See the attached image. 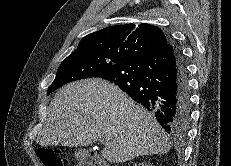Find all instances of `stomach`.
I'll return each mask as SVG.
<instances>
[{"label": "stomach", "mask_w": 231, "mask_h": 166, "mask_svg": "<svg viewBox=\"0 0 231 166\" xmlns=\"http://www.w3.org/2000/svg\"><path fill=\"white\" fill-rule=\"evenodd\" d=\"M80 152H82V151H79V152L77 153V156L80 154Z\"/></svg>", "instance_id": "stomach-1"}]
</instances>
